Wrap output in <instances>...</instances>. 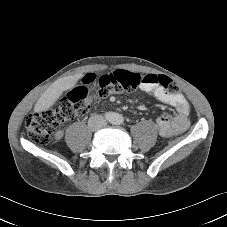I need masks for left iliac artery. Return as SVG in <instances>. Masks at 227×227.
<instances>
[{
	"label": "left iliac artery",
	"instance_id": "obj_1",
	"mask_svg": "<svg viewBox=\"0 0 227 227\" xmlns=\"http://www.w3.org/2000/svg\"><path fill=\"white\" fill-rule=\"evenodd\" d=\"M120 120H119V118H116V122H119Z\"/></svg>",
	"mask_w": 227,
	"mask_h": 227
}]
</instances>
